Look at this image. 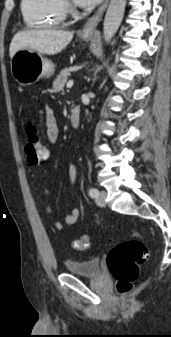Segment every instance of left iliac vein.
<instances>
[{
	"instance_id": "left-iliac-vein-1",
	"label": "left iliac vein",
	"mask_w": 171,
	"mask_h": 337,
	"mask_svg": "<svg viewBox=\"0 0 171 337\" xmlns=\"http://www.w3.org/2000/svg\"><path fill=\"white\" fill-rule=\"evenodd\" d=\"M107 196V193L105 191H100L99 195L96 198V203L100 207H104L106 205L105 198Z\"/></svg>"
}]
</instances>
